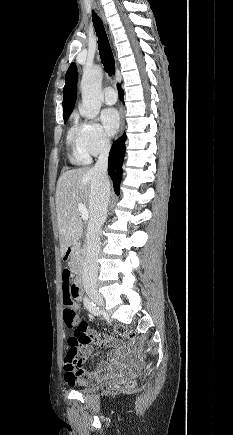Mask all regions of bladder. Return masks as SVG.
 Masks as SVG:
<instances>
[{"label": "bladder", "mask_w": 233, "mask_h": 435, "mask_svg": "<svg viewBox=\"0 0 233 435\" xmlns=\"http://www.w3.org/2000/svg\"><path fill=\"white\" fill-rule=\"evenodd\" d=\"M101 387L102 385L84 384L78 388V391H80L81 393H91L98 391Z\"/></svg>", "instance_id": "bladder-1"}]
</instances>
